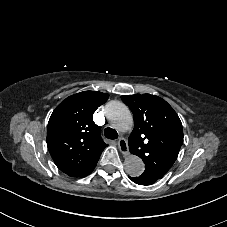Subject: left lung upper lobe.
Listing matches in <instances>:
<instances>
[{
	"mask_svg": "<svg viewBox=\"0 0 227 227\" xmlns=\"http://www.w3.org/2000/svg\"><path fill=\"white\" fill-rule=\"evenodd\" d=\"M131 109L134 129L129 150L145 163V173L162 178L177 159L183 144L182 123L162 98L150 94L121 96Z\"/></svg>",
	"mask_w": 227,
	"mask_h": 227,
	"instance_id": "1",
	"label": "left lung upper lobe"
}]
</instances>
